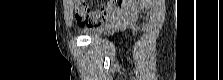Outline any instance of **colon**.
Segmentation results:
<instances>
[{
    "label": "colon",
    "mask_w": 223,
    "mask_h": 80,
    "mask_svg": "<svg viewBox=\"0 0 223 80\" xmlns=\"http://www.w3.org/2000/svg\"><path fill=\"white\" fill-rule=\"evenodd\" d=\"M124 0H111L105 6L93 11L83 0L75 1V18L80 25L96 26L103 23L115 8L121 7Z\"/></svg>",
    "instance_id": "5ec220e1"
}]
</instances>
